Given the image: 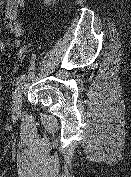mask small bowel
Instances as JSON below:
<instances>
[{
	"label": "small bowel",
	"mask_w": 131,
	"mask_h": 177,
	"mask_svg": "<svg viewBox=\"0 0 131 177\" xmlns=\"http://www.w3.org/2000/svg\"><path fill=\"white\" fill-rule=\"evenodd\" d=\"M26 8V0H6L5 18L7 20V29L13 35V39L4 41L0 39V52L6 47L12 46L15 48L18 56H23L26 52V47L22 45L21 36L24 28L22 23L18 20V13L20 9Z\"/></svg>",
	"instance_id": "1"
}]
</instances>
